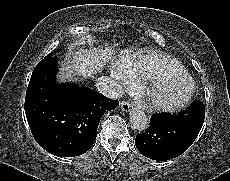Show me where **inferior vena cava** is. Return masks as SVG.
<instances>
[{"instance_id":"1","label":"inferior vena cava","mask_w":230,"mask_h":181,"mask_svg":"<svg viewBox=\"0 0 230 181\" xmlns=\"http://www.w3.org/2000/svg\"><path fill=\"white\" fill-rule=\"evenodd\" d=\"M95 86L98 92L112 99H118L124 93L121 85L108 76L97 78Z\"/></svg>"}]
</instances>
